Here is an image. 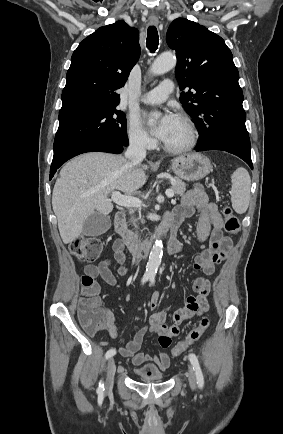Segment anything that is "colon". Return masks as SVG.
Returning <instances> with one entry per match:
<instances>
[{
    "label": "colon",
    "mask_w": 283,
    "mask_h": 434,
    "mask_svg": "<svg viewBox=\"0 0 283 434\" xmlns=\"http://www.w3.org/2000/svg\"><path fill=\"white\" fill-rule=\"evenodd\" d=\"M224 229L231 235H236L240 231V221L233 213L232 209L226 207L223 210ZM103 248V240L97 236H82L72 244V253L82 262H94L99 257ZM100 286L96 279L89 275L82 277V298L79 303L78 317L82 326L90 333L98 332L103 325V309L101 307ZM209 325V320L203 317L199 325L192 329L187 337L176 344L171 354L179 356L191 344L200 339Z\"/></svg>",
    "instance_id": "5ec220e1"
}]
</instances>
